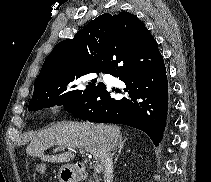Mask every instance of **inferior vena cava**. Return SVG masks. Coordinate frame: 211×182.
Wrapping results in <instances>:
<instances>
[{"mask_svg":"<svg viewBox=\"0 0 211 182\" xmlns=\"http://www.w3.org/2000/svg\"><path fill=\"white\" fill-rule=\"evenodd\" d=\"M105 182H112L113 180V163L112 155L107 154L105 157Z\"/></svg>","mask_w":211,"mask_h":182,"instance_id":"1","label":"inferior vena cava"}]
</instances>
